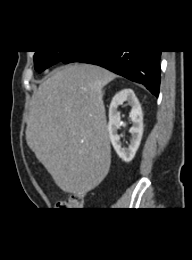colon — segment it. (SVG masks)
<instances>
[{
    "label": "colon",
    "mask_w": 192,
    "mask_h": 260,
    "mask_svg": "<svg viewBox=\"0 0 192 260\" xmlns=\"http://www.w3.org/2000/svg\"><path fill=\"white\" fill-rule=\"evenodd\" d=\"M83 202V195L75 194L70 196L68 200L58 202L57 208L59 210H76L82 207Z\"/></svg>",
    "instance_id": "colon-1"
}]
</instances>
